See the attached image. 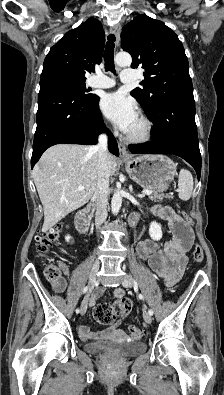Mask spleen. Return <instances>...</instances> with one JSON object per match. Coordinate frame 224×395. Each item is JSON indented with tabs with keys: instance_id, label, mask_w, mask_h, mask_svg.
<instances>
[{
	"instance_id": "obj_1",
	"label": "spleen",
	"mask_w": 224,
	"mask_h": 395,
	"mask_svg": "<svg viewBox=\"0 0 224 395\" xmlns=\"http://www.w3.org/2000/svg\"><path fill=\"white\" fill-rule=\"evenodd\" d=\"M179 198L187 201L190 199L193 190V177L190 171L182 169L178 179Z\"/></svg>"
}]
</instances>
